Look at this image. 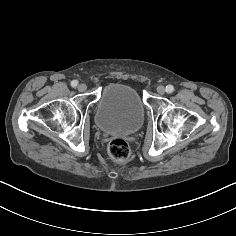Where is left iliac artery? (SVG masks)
<instances>
[{"label": "left iliac artery", "mask_w": 236, "mask_h": 236, "mask_svg": "<svg viewBox=\"0 0 236 236\" xmlns=\"http://www.w3.org/2000/svg\"><path fill=\"white\" fill-rule=\"evenodd\" d=\"M174 91V87L172 85H167L166 86V92L171 94Z\"/></svg>", "instance_id": "obj_1"}]
</instances>
